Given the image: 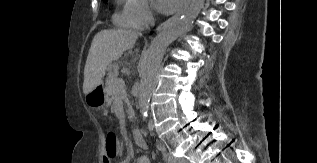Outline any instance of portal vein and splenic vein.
<instances>
[{"label":"portal vein and splenic vein","instance_id":"portal-vein-and-splenic-vein-1","mask_svg":"<svg viewBox=\"0 0 317 163\" xmlns=\"http://www.w3.org/2000/svg\"><path fill=\"white\" fill-rule=\"evenodd\" d=\"M116 84H117V87L119 89H124L125 88V83H124V81L122 79L117 80Z\"/></svg>","mask_w":317,"mask_h":163}]
</instances>
